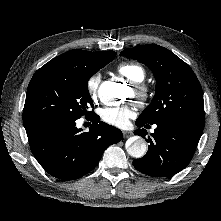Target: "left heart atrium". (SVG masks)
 <instances>
[{
    "label": "left heart atrium",
    "mask_w": 221,
    "mask_h": 221,
    "mask_svg": "<svg viewBox=\"0 0 221 221\" xmlns=\"http://www.w3.org/2000/svg\"><path fill=\"white\" fill-rule=\"evenodd\" d=\"M100 118L113 126L125 127L133 117L134 112L129 106H108L99 112Z\"/></svg>",
    "instance_id": "obj_1"
}]
</instances>
